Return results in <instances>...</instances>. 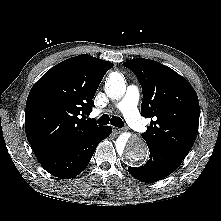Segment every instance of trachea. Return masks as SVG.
<instances>
[{"label":"trachea","instance_id":"3493384b","mask_svg":"<svg viewBox=\"0 0 221 221\" xmlns=\"http://www.w3.org/2000/svg\"><path fill=\"white\" fill-rule=\"evenodd\" d=\"M109 122L111 125L118 128H122L124 126V123L120 117L113 116L110 118L107 114H104L98 119V124L101 125H107Z\"/></svg>","mask_w":221,"mask_h":221}]
</instances>
